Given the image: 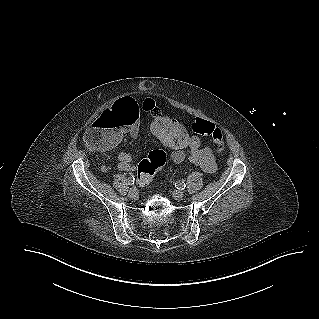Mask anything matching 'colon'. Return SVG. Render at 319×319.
<instances>
[{
    "instance_id": "obj_1",
    "label": "colon",
    "mask_w": 319,
    "mask_h": 319,
    "mask_svg": "<svg viewBox=\"0 0 319 319\" xmlns=\"http://www.w3.org/2000/svg\"><path fill=\"white\" fill-rule=\"evenodd\" d=\"M148 126L154 138L182 153L198 148L201 141L200 135H191V132L197 131L202 136L210 137L218 152H223L225 148L223 129L204 119L186 118L182 127L170 115L159 112L151 116ZM167 159V153L164 150H152L138 165L137 183L141 186L149 184L155 172L166 165Z\"/></svg>"
}]
</instances>
